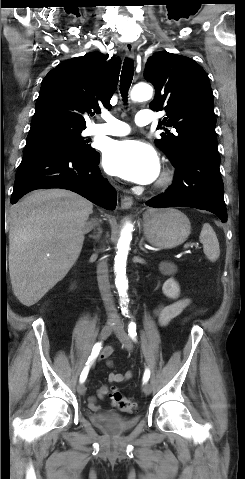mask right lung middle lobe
I'll use <instances>...</instances> for the list:
<instances>
[{
    "mask_svg": "<svg viewBox=\"0 0 245 479\" xmlns=\"http://www.w3.org/2000/svg\"><path fill=\"white\" fill-rule=\"evenodd\" d=\"M84 129H73L63 125H51L30 129L24 155L51 146H67L89 154L96 150L87 145L81 136Z\"/></svg>",
    "mask_w": 245,
    "mask_h": 479,
    "instance_id": "dd1d6c3e",
    "label": "right lung middle lobe"
}]
</instances>
